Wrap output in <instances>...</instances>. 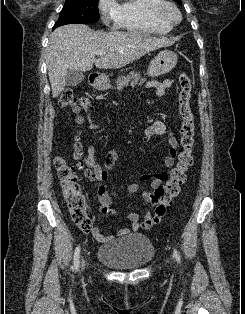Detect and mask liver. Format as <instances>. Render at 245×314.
Returning a JSON list of instances; mask_svg holds the SVG:
<instances>
[{"label": "liver", "mask_w": 245, "mask_h": 314, "mask_svg": "<svg viewBox=\"0 0 245 314\" xmlns=\"http://www.w3.org/2000/svg\"><path fill=\"white\" fill-rule=\"evenodd\" d=\"M173 43L166 37L139 32H95L83 24L59 27L51 33L45 54L52 97H58L64 90L68 70L90 71L93 64L99 69L121 68ZM98 51L105 55L95 59Z\"/></svg>", "instance_id": "6515ba94"}]
</instances>
